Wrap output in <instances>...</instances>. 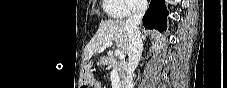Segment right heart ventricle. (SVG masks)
Listing matches in <instances>:
<instances>
[{
  "label": "right heart ventricle",
  "instance_id": "obj_1",
  "mask_svg": "<svg viewBox=\"0 0 227 88\" xmlns=\"http://www.w3.org/2000/svg\"><path fill=\"white\" fill-rule=\"evenodd\" d=\"M103 9L109 17L122 19L126 17L128 6L124 0H103Z\"/></svg>",
  "mask_w": 227,
  "mask_h": 88
}]
</instances>
